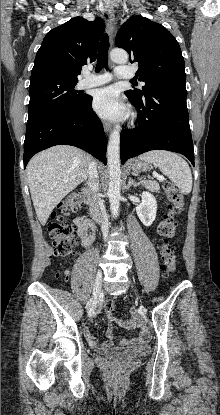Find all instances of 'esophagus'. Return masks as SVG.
Returning a JSON list of instances; mask_svg holds the SVG:
<instances>
[{
    "instance_id": "34e87169",
    "label": "esophagus",
    "mask_w": 220,
    "mask_h": 415,
    "mask_svg": "<svg viewBox=\"0 0 220 415\" xmlns=\"http://www.w3.org/2000/svg\"><path fill=\"white\" fill-rule=\"evenodd\" d=\"M105 12L108 16V20H107V28H108V35H109V39H110V43H113V37H114V26H115V17H114V10L112 8L111 5L107 4L105 6ZM103 127L105 132H109L111 125L109 122L104 121L103 122Z\"/></svg>"
}]
</instances>
